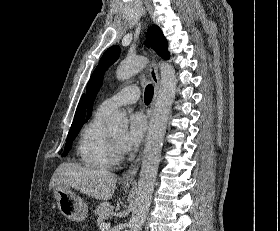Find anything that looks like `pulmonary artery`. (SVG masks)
Wrapping results in <instances>:
<instances>
[{"label":"pulmonary artery","mask_w":280,"mask_h":231,"mask_svg":"<svg viewBox=\"0 0 280 231\" xmlns=\"http://www.w3.org/2000/svg\"><path fill=\"white\" fill-rule=\"evenodd\" d=\"M140 90L137 86H128L104 100L98 107V110L104 113H110L119 107L132 104L138 101Z\"/></svg>","instance_id":"obj_1"}]
</instances>
